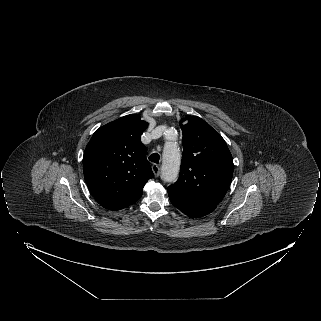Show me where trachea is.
<instances>
[{
    "mask_svg": "<svg viewBox=\"0 0 321 321\" xmlns=\"http://www.w3.org/2000/svg\"><path fill=\"white\" fill-rule=\"evenodd\" d=\"M149 160L154 163H158L160 160V156L157 153H153L149 156Z\"/></svg>",
    "mask_w": 321,
    "mask_h": 321,
    "instance_id": "3493384b",
    "label": "trachea"
}]
</instances>
